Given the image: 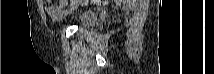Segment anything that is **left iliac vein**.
Returning a JSON list of instances; mask_svg holds the SVG:
<instances>
[{
    "label": "left iliac vein",
    "mask_w": 214,
    "mask_h": 74,
    "mask_svg": "<svg viewBox=\"0 0 214 74\" xmlns=\"http://www.w3.org/2000/svg\"><path fill=\"white\" fill-rule=\"evenodd\" d=\"M79 8V5H76L71 12H74L75 10H77Z\"/></svg>",
    "instance_id": "4c4485c4"
}]
</instances>
